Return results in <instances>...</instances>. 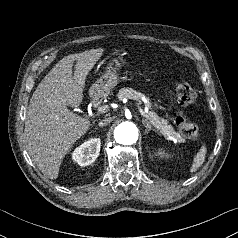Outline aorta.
<instances>
[{
  "label": "aorta",
  "instance_id": "obj_1",
  "mask_svg": "<svg viewBox=\"0 0 238 238\" xmlns=\"http://www.w3.org/2000/svg\"><path fill=\"white\" fill-rule=\"evenodd\" d=\"M114 138L120 144L131 145L138 139V128L133 122H122L115 128Z\"/></svg>",
  "mask_w": 238,
  "mask_h": 238
}]
</instances>
